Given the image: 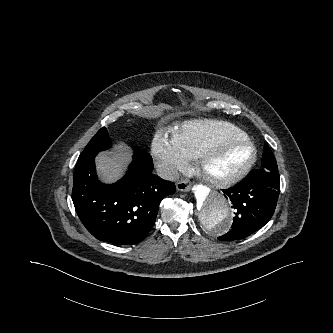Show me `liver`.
Listing matches in <instances>:
<instances>
[{
    "mask_svg": "<svg viewBox=\"0 0 333 333\" xmlns=\"http://www.w3.org/2000/svg\"><path fill=\"white\" fill-rule=\"evenodd\" d=\"M123 152V146L118 144L115 155L112 152L100 153L96 157L97 170L105 182L111 183L119 179L125 170L124 162L128 160Z\"/></svg>",
    "mask_w": 333,
    "mask_h": 333,
    "instance_id": "1",
    "label": "liver"
}]
</instances>
